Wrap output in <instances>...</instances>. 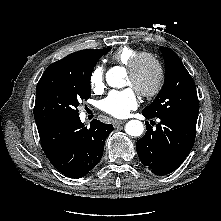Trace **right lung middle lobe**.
<instances>
[{"label":"right lung middle lobe","instance_id":"dd1d6c3e","mask_svg":"<svg viewBox=\"0 0 221 221\" xmlns=\"http://www.w3.org/2000/svg\"><path fill=\"white\" fill-rule=\"evenodd\" d=\"M109 50L51 64L36 87L37 126L78 117V106L91 96L90 79L97 61Z\"/></svg>","mask_w":221,"mask_h":221}]
</instances>
